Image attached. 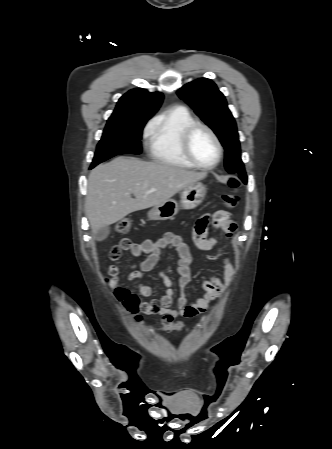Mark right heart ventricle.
I'll list each match as a JSON object with an SVG mask.
<instances>
[{
	"label": "right heart ventricle",
	"instance_id": "obj_1",
	"mask_svg": "<svg viewBox=\"0 0 332 449\" xmlns=\"http://www.w3.org/2000/svg\"><path fill=\"white\" fill-rule=\"evenodd\" d=\"M194 122L190 111L183 106L169 109L157 116L148 132V149L151 157L168 165L194 167L181 150V135Z\"/></svg>",
	"mask_w": 332,
	"mask_h": 449
}]
</instances>
